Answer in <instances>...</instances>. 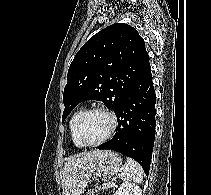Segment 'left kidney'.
Listing matches in <instances>:
<instances>
[{
  "mask_svg": "<svg viewBox=\"0 0 211 195\" xmlns=\"http://www.w3.org/2000/svg\"><path fill=\"white\" fill-rule=\"evenodd\" d=\"M114 195H142V192L136 184L124 182L116 190Z\"/></svg>",
  "mask_w": 211,
  "mask_h": 195,
  "instance_id": "1",
  "label": "left kidney"
}]
</instances>
